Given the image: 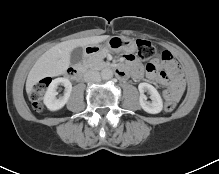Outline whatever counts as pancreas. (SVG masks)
I'll return each mask as SVG.
<instances>
[{
	"label": "pancreas",
	"instance_id": "obj_1",
	"mask_svg": "<svg viewBox=\"0 0 219 174\" xmlns=\"http://www.w3.org/2000/svg\"><path fill=\"white\" fill-rule=\"evenodd\" d=\"M107 54H108L107 51H101L94 54L93 56L85 60L84 67L88 69H96V70L103 68L106 65L103 59L106 57Z\"/></svg>",
	"mask_w": 219,
	"mask_h": 174
}]
</instances>
